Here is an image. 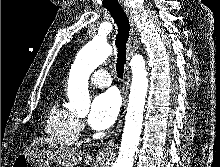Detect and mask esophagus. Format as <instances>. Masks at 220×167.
I'll use <instances>...</instances> for the list:
<instances>
[{"instance_id": "obj_1", "label": "esophagus", "mask_w": 220, "mask_h": 167, "mask_svg": "<svg viewBox=\"0 0 220 167\" xmlns=\"http://www.w3.org/2000/svg\"><path fill=\"white\" fill-rule=\"evenodd\" d=\"M124 10L129 19L131 30H130V35H129L128 49H127V62L125 64V70H124V83H123V89H122V97H123L122 111L119 115L117 126L113 132V135L111 136L109 141L101 149H99L95 154V158L98 161L105 160L112 154L113 149L116 145V142L119 138L122 125H123V116H124L123 110L126 107L127 95H128L129 86H130V70H129L128 64H129L130 58L137 51L140 45L139 32L136 27L132 9L129 6L124 5Z\"/></svg>"}]
</instances>
